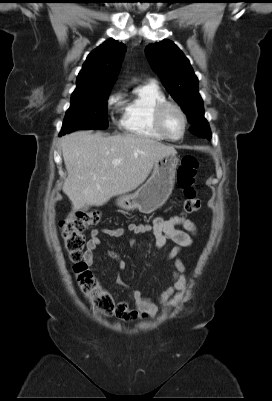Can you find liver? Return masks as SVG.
Masks as SVG:
<instances>
[{
	"label": "liver",
	"mask_w": 272,
	"mask_h": 401,
	"mask_svg": "<svg viewBox=\"0 0 272 401\" xmlns=\"http://www.w3.org/2000/svg\"><path fill=\"white\" fill-rule=\"evenodd\" d=\"M67 178L63 192L72 202L66 223L85 205L102 206L113 196L135 190L160 158L177 154L174 147L137 135L106 136L77 131L61 139ZM120 160L114 166L113 160Z\"/></svg>",
	"instance_id": "6515ba94"
}]
</instances>
